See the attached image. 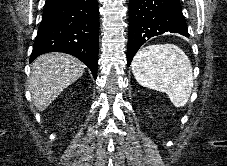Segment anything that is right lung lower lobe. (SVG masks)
I'll use <instances>...</instances> for the list:
<instances>
[{"label": "right lung lower lobe", "instance_id": "1", "mask_svg": "<svg viewBox=\"0 0 227 166\" xmlns=\"http://www.w3.org/2000/svg\"><path fill=\"white\" fill-rule=\"evenodd\" d=\"M99 13L97 0H46L30 57L48 52L77 57L97 77Z\"/></svg>", "mask_w": 227, "mask_h": 166}]
</instances>
